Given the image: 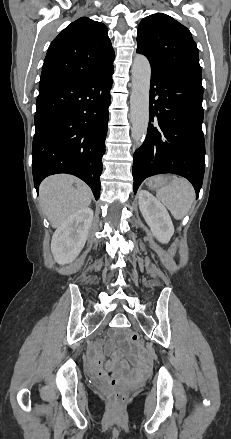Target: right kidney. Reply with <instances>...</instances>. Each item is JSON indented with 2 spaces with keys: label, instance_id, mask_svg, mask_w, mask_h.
I'll return each mask as SVG.
<instances>
[{
  "label": "right kidney",
  "instance_id": "1",
  "mask_svg": "<svg viewBox=\"0 0 231 439\" xmlns=\"http://www.w3.org/2000/svg\"><path fill=\"white\" fill-rule=\"evenodd\" d=\"M93 220V211L83 208L67 218L55 231L51 251L58 264L72 262L83 249Z\"/></svg>",
  "mask_w": 231,
  "mask_h": 439
}]
</instances>
